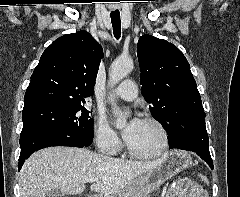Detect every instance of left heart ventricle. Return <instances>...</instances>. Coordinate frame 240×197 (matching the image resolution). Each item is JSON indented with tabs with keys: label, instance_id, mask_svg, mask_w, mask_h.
Listing matches in <instances>:
<instances>
[{
	"label": "left heart ventricle",
	"instance_id": "1",
	"mask_svg": "<svg viewBox=\"0 0 240 197\" xmlns=\"http://www.w3.org/2000/svg\"><path fill=\"white\" fill-rule=\"evenodd\" d=\"M127 144L137 152H152L159 148L161 135L153 124L142 121L138 131Z\"/></svg>",
	"mask_w": 240,
	"mask_h": 197
}]
</instances>
